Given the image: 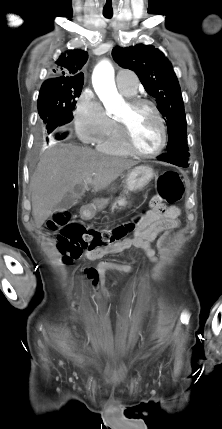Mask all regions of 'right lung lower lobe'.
<instances>
[{
  "label": "right lung lower lobe",
  "mask_w": 222,
  "mask_h": 429,
  "mask_svg": "<svg viewBox=\"0 0 222 429\" xmlns=\"http://www.w3.org/2000/svg\"><path fill=\"white\" fill-rule=\"evenodd\" d=\"M67 134H68V132H65L63 130H59V131L52 133L51 136L55 135L56 139L62 140L67 136Z\"/></svg>",
  "instance_id": "98d812e1"
}]
</instances>
